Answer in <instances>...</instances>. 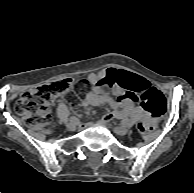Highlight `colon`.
<instances>
[{
  "mask_svg": "<svg viewBox=\"0 0 194 193\" xmlns=\"http://www.w3.org/2000/svg\"><path fill=\"white\" fill-rule=\"evenodd\" d=\"M116 78L117 83L121 87L134 93V98L137 101H142L143 107L149 117L142 132L145 135L148 134L152 128L151 120L161 116L166 110L164 96L152 86H147L138 91L136 80L128 74H118ZM82 84H84L83 81H75L74 79L67 78L32 88L21 95L15 105V110L26 126L49 132L50 104L57 96L68 94L76 86Z\"/></svg>",
  "mask_w": 194,
  "mask_h": 193,
  "instance_id": "1",
  "label": "colon"
}]
</instances>
